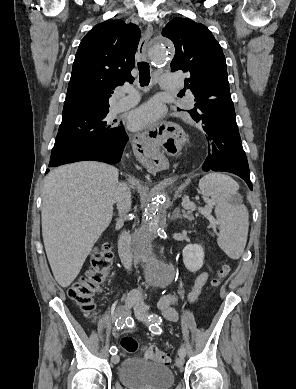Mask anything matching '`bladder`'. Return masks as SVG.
Returning a JSON list of instances; mask_svg holds the SVG:
<instances>
[{"mask_svg": "<svg viewBox=\"0 0 296 389\" xmlns=\"http://www.w3.org/2000/svg\"><path fill=\"white\" fill-rule=\"evenodd\" d=\"M117 374L128 389H170L174 384V375L168 366L135 357L126 358Z\"/></svg>", "mask_w": 296, "mask_h": 389, "instance_id": "1", "label": "bladder"}]
</instances>
